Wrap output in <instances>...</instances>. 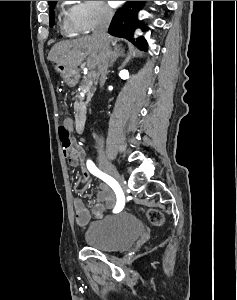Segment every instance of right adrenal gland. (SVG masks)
Returning a JSON list of instances; mask_svg holds the SVG:
<instances>
[{
    "instance_id": "right-adrenal-gland-1",
    "label": "right adrenal gland",
    "mask_w": 237,
    "mask_h": 300,
    "mask_svg": "<svg viewBox=\"0 0 237 300\" xmlns=\"http://www.w3.org/2000/svg\"><path fill=\"white\" fill-rule=\"evenodd\" d=\"M110 55H111V59H110L109 67H113L114 61H116L118 57H124V51L123 49H121V47H119V45H116L113 51H111Z\"/></svg>"
}]
</instances>
